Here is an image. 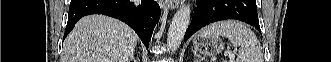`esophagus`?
<instances>
[{"mask_svg": "<svg viewBox=\"0 0 331 62\" xmlns=\"http://www.w3.org/2000/svg\"><path fill=\"white\" fill-rule=\"evenodd\" d=\"M179 2V0H161V7L164 8L167 5L168 8L173 10L178 7Z\"/></svg>", "mask_w": 331, "mask_h": 62, "instance_id": "34e87169", "label": "esophagus"}]
</instances>
